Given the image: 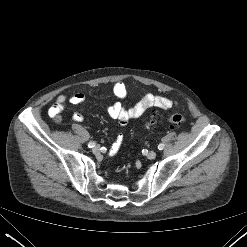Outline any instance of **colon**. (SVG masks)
Segmentation results:
<instances>
[{
    "label": "colon",
    "mask_w": 247,
    "mask_h": 247,
    "mask_svg": "<svg viewBox=\"0 0 247 247\" xmlns=\"http://www.w3.org/2000/svg\"><path fill=\"white\" fill-rule=\"evenodd\" d=\"M171 128L178 127L184 122V116L180 113H173L166 117Z\"/></svg>",
    "instance_id": "obj_1"
}]
</instances>
